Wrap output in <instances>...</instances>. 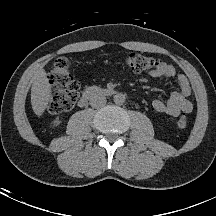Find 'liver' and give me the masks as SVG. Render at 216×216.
Returning a JSON list of instances; mask_svg holds the SVG:
<instances>
[{"mask_svg": "<svg viewBox=\"0 0 216 216\" xmlns=\"http://www.w3.org/2000/svg\"><path fill=\"white\" fill-rule=\"evenodd\" d=\"M32 81V109L37 116H41L46 110L48 102L51 99V86L48 82L46 72L42 68L35 72Z\"/></svg>", "mask_w": 216, "mask_h": 216, "instance_id": "1", "label": "liver"}]
</instances>
